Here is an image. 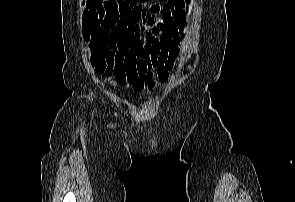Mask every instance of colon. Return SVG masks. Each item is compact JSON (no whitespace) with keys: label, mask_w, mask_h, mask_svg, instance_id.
<instances>
[{"label":"colon","mask_w":295,"mask_h":202,"mask_svg":"<svg viewBox=\"0 0 295 202\" xmlns=\"http://www.w3.org/2000/svg\"><path fill=\"white\" fill-rule=\"evenodd\" d=\"M140 0H102L106 13L111 15L124 16L130 13L133 7ZM113 20L105 19L99 24L93 23L96 27L91 32V42L93 47H104L107 44L108 30L112 27Z\"/></svg>","instance_id":"obj_1"}]
</instances>
